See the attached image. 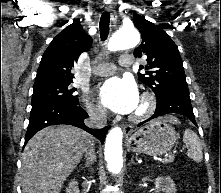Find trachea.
Segmentation results:
<instances>
[{
    "label": "trachea",
    "mask_w": 221,
    "mask_h": 193,
    "mask_svg": "<svg viewBox=\"0 0 221 193\" xmlns=\"http://www.w3.org/2000/svg\"><path fill=\"white\" fill-rule=\"evenodd\" d=\"M110 13L104 12L100 18V36L101 40L105 41L109 34Z\"/></svg>",
    "instance_id": "1"
}]
</instances>
